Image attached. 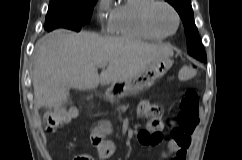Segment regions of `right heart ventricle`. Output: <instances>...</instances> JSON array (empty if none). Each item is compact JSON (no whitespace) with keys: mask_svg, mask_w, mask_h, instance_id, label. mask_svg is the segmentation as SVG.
<instances>
[{"mask_svg":"<svg viewBox=\"0 0 242 160\" xmlns=\"http://www.w3.org/2000/svg\"><path fill=\"white\" fill-rule=\"evenodd\" d=\"M152 0H125L113 9L111 31L121 37L159 41L163 39L151 33L143 24L142 12Z\"/></svg>","mask_w":242,"mask_h":160,"instance_id":"1","label":"right heart ventricle"}]
</instances>
